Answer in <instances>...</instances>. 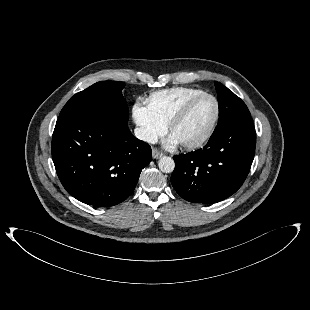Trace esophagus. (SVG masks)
Instances as JSON below:
<instances>
[{
    "label": "esophagus",
    "instance_id": "34e87169",
    "mask_svg": "<svg viewBox=\"0 0 310 310\" xmlns=\"http://www.w3.org/2000/svg\"><path fill=\"white\" fill-rule=\"evenodd\" d=\"M152 156L154 159H159L160 157L163 156V153L160 150H158L157 148H153L152 149Z\"/></svg>",
    "mask_w": 310,
    "mask_h": 310
}]
</instances>
